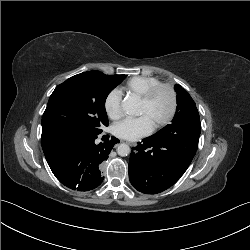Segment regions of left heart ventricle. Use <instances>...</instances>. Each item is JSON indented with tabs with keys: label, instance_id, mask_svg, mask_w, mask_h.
<instances>
[{
	"label": "left heart ventricle",
	"instance_id": "obj_1",
	"mask_svg": "<svg viewBox=\"0 0 250 250\" xmlns=\"http://www.w3.org/2000/svg\"><path fill=\"white\" fill-rule=\"evenodd\" d=\"M170 109V98L166 91H160L149 104L139 103V114L146 115L152 124L164 119Z\"/></svg>",
	"mask_w": 250,
	"mask_h": 250
}]
</instances>
